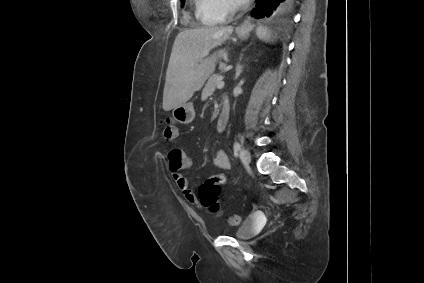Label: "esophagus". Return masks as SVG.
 <instances>
[{"label":"esophagus","mask_w":424,"mask_h":283,"mask_svg":"<svg viewBox=\"0 0 424 283\" xmlns=\"http://www.w3.org/2000/svg\"><path fill=\"white\" fill-rule=\"evenodd\" d=\"M249 29H251V20L250 17H247L244 22L237 28V31L242 32Z\"/></svg>","instance_id":"1"}]
</instances>
